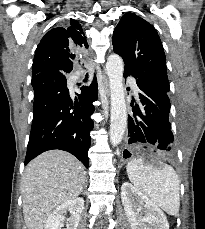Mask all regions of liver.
I'll return each mask as SVG.
<instances>
[{"label": "liver", "instance_id": "obj_1", "mask_svg": "<svg viewBox=\"0 0 205 229\" xmlns=\"http://www.w3.org/2000/svg\"><path fill=\"white\" fill-rule=\"evenodd\" d=\"M84 183V166L68 152L51 150L33 159L21 185L27 229H43L51 212L77 198Z\"/></svg>", "mask_w": 205, "mask_h": 229}]
</instances>
